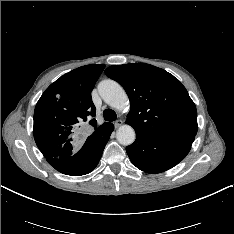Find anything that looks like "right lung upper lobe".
<instances>
[{"label": "right lung upper lobe", "instance_id": "obj_1", "mask_svg": "<svg viewBox=\"0 0 234 234\" xmlns=\"http://www.w3.org/2000/svg\"><path fill=\"white\" fill-rule=\"evenodd\" d=\"M104 68L105 65H86L74 69L42 94L34 111L33 133L44 157L66 158L75 154L84 122L88 121L94 132L108 124L97 127L92 118L96 108L91 91Z\"/></svg>", "mask_w": 234, "mask_h": 234}]
</instances>
